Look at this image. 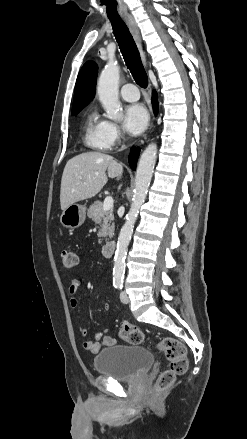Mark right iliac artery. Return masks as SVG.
<instances>
[{"instance_id":"obj_1","label":"right iliac artery","mask_w":247,"mask_h":439,"mask_svg":"<svg viewBox=\"0 0 247 439\" xmlns=\"http://www.w3.org/2000/svg\"><path fill=\"white\" fill-rule=\"evenodd\" d=\"M120 286H121V285H118V284H117V285H114L115 288H119Z\"/></svg>"}]
</instances>
